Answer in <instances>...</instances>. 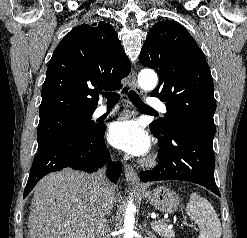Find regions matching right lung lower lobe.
<instances>
[{
  "mask_svg": "<svg viewBox=\"0 0 247 238\" xmlns=\"http://www.w3.org/2000/svg\"><path fill=\"white\" fill-rule=\"evenodd\" d=\"M105 130L104 124H97V129L88 136H66L38 147L23 198L30 193L42 177L64 168L92 173L96 168L107 163V176L112 182L117 183L121 175L122 164L110 160L104 142Z\"/></svg>",
  "mask_w": 247,
  "mask_h": 238,
  "instance_id": "98d812e1",
  "label": "right lung lower lobe"
}]
</instances>
